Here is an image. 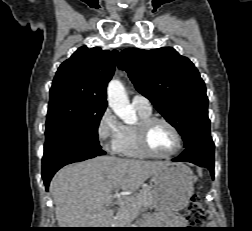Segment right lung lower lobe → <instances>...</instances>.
I'll use <instances>...</instances> for the list:
<instances>
[{
    "mask_svg": "<svg viewBox=\"0 0 252 231\" xmlns=\"http://www.w3.org/2000/svg\"><path fill=\"white\" fill-rule=\"evenodd\" d=\"M104 154L105 151L101 148L84 145H64L45 152L42 158V178L46 190H48L51 178L61 167Z\"/></svg>",
    "mask_w": 252,
    "mask_h": 231,
    "instance_id": "right-lung-lower-lobe-1",
    "label": "right lung lower lobe"
}]
</instances>
